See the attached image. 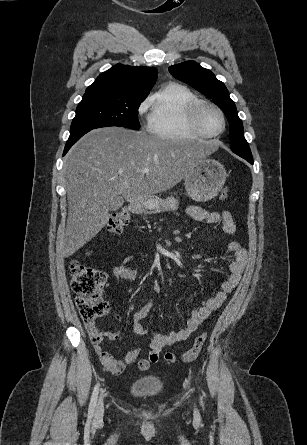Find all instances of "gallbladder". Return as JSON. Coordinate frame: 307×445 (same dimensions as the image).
<instances>
[{"label":"gallbladder","mask_w":307,"mask_h":445,"mask_svg":"<svg viewBox=\"0 0 307 445\" xmlns=\"http://www.w3.org/2000/svg\"><path fill=\"white\" fill-rule=\"evenodd\" d=\"M123 204H124L123 196L116 195L113 197V202L112 204H110L109 209L110 211L115 212L119 208H121Z\"/></svg>","instance_id":"1"}]
</instances>
